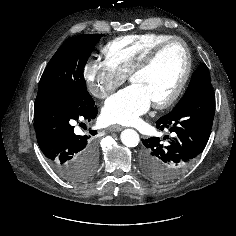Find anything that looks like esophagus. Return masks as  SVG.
Instances as JSON below:
<instances>
[{
	"label": "esophagus",
	"mask_w": 236,
	"mask_h": 236,
	"mask_svg": "<svg viewBox=\"0 0 236 236\" xmlns=\"http://www.w3.org/2000/svg\"><path fill=\"white\" fill-rule=\"evenodd\" d=\"M122 129H123V127L120 126V125H112V126H110V128H109V130H110L111 132H118V131H121Z\"/></svg>",
	"instance_id": "34e87169"
}]
</instances>
